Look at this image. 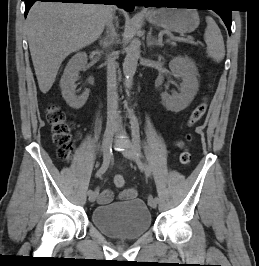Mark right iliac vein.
<instances>
[{
  "mask_svg": "<svg viewBox=\"0 0 259 266\" xmlns=\"http://www.w3.org/2000/svg\"><path fill=\"white\" fill-rule=\"evenodd\" d=\"M117 131V124L116 123H110L108 124L107 128H106V132H105V136L103 139V144H102V151H103V157L105 158L109 148H110V141H111V137L113 136V134ZM97 198V193L96 191L92 192L89 195V201L90 202H94Z\"/></svg>",
  "mask_w": 259,
  "mask_h": 266,
  "instance_id": "63e3f726",
  "label": "right iliac vein"
}]
</instances>
